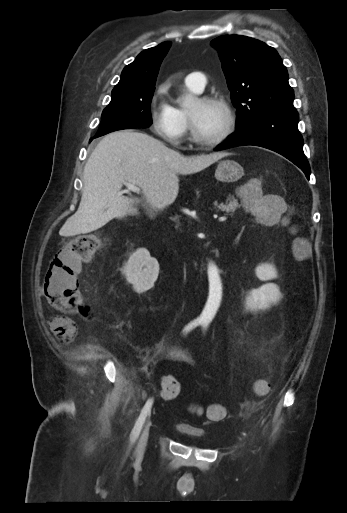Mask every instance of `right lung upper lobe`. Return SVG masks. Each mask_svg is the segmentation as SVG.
I'll list each match as a JSON object with an SVG mask.
<instances>
[{
	"mask_svg": "<svg viewBox=\"0 0 347 513\" xmlns=\"http://www.w3.org/2000/svg\"><path fill=\"white\" fill-rule=\"evenodd\" d=\"M170 46L171 42H163L156 47L142 51L131 64L123 69L121 79L113 90L155 87L160 64Z\"/></svg>",
	"mask_w": 347,
	"mask_h": 513,
	"instance_id": "cb5924a9",
	"label": "right lung upper lobe"
}]
</instances>
